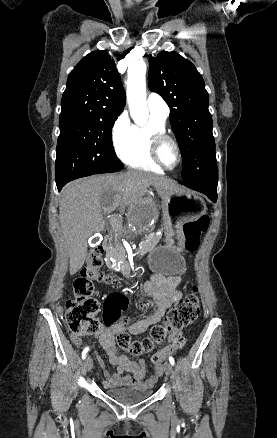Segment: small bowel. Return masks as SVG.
Wrapping results in <instances>:
<instances>
[{
  "mask_svg": "<svg viewBox=\"0 0 277 438\" xmlns=\"http://www.w3.org/2000/svg\"><path fill=\"white\" fill-rule=\"evenodd\" d=\"M180 284L181 277L179 275L166 276L155 273L144 285L145 294L155 301L153 313L149 317L127 326L102 327L94 334L108 356L110 363L116 367V372L112 373L106 364L101 366L106 374V380L104 381L106 387L126 386L138 390H147L157 383L164 372L163 363H154L153 374L146 378V361L144 359L131 361L126 355L119 353L115 344V336L123 331L132 335H139L144 333L151 325L160 322L172 305L181 299ZM70 337L75 345L82 346L84 344L85 334L72 333ZM180 337V331H174L170 334V344L161 350L165 354L163 360L174 353L176 349L175 342ZM125 372L131 375H124Z\"/></svg>",
  "mask_w": 277,
  "mask_h": 438,
  "instance_id": "1",
  "label": "small bowel"
}]
</instances>
